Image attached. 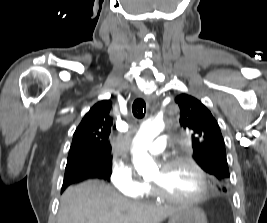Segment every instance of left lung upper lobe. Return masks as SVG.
Listing matches in <instances>:
<instances>
[{"instance_id": "obj_1", "label": "left lung upper lobe", "mask_w": 267, "mask_h": 223, "mask_svg": "<svg viewBox=\"0 0 267 223\" xmlns=\"http://www.w3.org/2000/svg\"><path fill=\"white\" fill-rule=\"evenodd\" d=\"M180 108V125L190 131L193 157L197 164L220 183L230 177L224 140L211 112L196 98L181 94L175 98ZM223 187V188H222Z\"/></svg>"}]
</instances>
